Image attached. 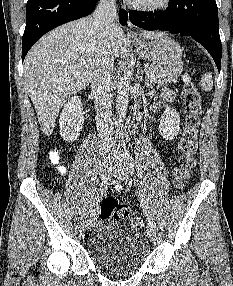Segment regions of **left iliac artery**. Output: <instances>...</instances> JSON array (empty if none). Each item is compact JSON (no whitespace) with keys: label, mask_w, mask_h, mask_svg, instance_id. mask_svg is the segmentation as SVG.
Returning a JSON list of instances; mask_svg holds the SVG:
<instances>
[{"label":"left iliac artery","mask_w":233,"mask_h":286,"mask_svg":"<svg viewBox=\"0 0 233 286\" xmlns=\"http://www.w3.org/2000/svg\"><path fill=\"white\" fill-rule=\"evenodd\" d=\"M123 156H124L125 164L129 170V172L131 173V175L134 176L135 170H134L133 160H132V157L130 156L129 151L126 148L124 149ZM140 202H141V206L143 208V212H144L145 216L147 217L149 224H153L154 223L153 217L151 216L150 212L148 211V209L144 203V200L142 198L140 199Z\"/></svg>","instance_id":"left-iliac-artery-1"}]
</instances>
